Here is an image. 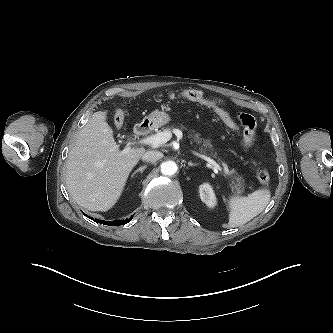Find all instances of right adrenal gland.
Instances as JSON below:
<instances>
[{
    "instance_id": "right-adrenal-gland-1",
    "label": "right adrenal gland",
    "mask_w": 333,
    "mask_h": 333,
    "mask_svg": "<svg viewBox=\"0 0 333 333\" xmlns=\"http://www.w3.org/2000/svg\"><path fill=\"white\" fill-rule=\"evenodd\" d=\"M147 168V165L141 166L140 168H138L137 170L134 171V173L132 174V178L135 176V174H137L138 172H140L141 174L143 173V171Z\"/></svg>"
}]
</instances>
